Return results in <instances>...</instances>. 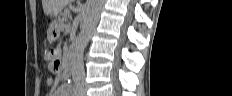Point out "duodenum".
Wrapping results in <instances>:
<instances>
[{"label": "duodenum", "mask_w": 232, "mask_h": 96, "mask_svg": "<svg viewBox=\"0 0 232 96\" xmlns=\"http://www.w3.org/2000/svg\"><path fill=\"white\" fill-rule=\"evenodd\" d=\"M75 53H76L75 48H70V49H69L68 56H67V60H66V62H65L64 69H63V76H64L65 78L70 77V75L72 74L73 65H74V58H75Z\"/></svg>", "instance_id": "obj_1"}]
</instances>
